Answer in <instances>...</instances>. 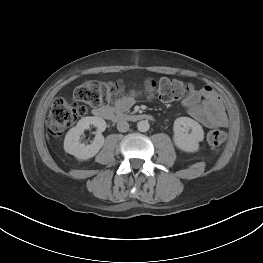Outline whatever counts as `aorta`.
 <instances>
[{
	"label": "aorta",
	"instance_id": "obj_1",
	"mask_svg": "<svg viewBox=\"0 0 263 263\" xmlns=\"http://www.w3.org/2000/svg\"><path fill=\"white\" fill-rule=\"evenodd\" d=\"M137 128L140 132H146L150 128V124L147 120H142L137 123Z\"/></svg>",
	"mask_w": 263,
	"mask_h": 263
}]
</instances>
